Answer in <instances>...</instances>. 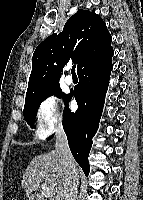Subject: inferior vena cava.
I'll list each match as a JSON object with an SVG mask.
<instances>
[{
  "mask_svg": "<svg viewBox=\"0 0 143 200\" xmlns=\"http://www.w3.org/2000/svg\"><path fill=\"white\" fill-rule=\"evenodd\" d=\"M55 150L60 154L65 171L62 200H76L79 185L78 171L75 160L71 154L66 133L63 125L59 124L56 131Z\"/></svg>",
  "mask_w": 143,
  "mask_h": 200,
  "instance_id": "inferior-vena-cava-1",
  "label": "inferior vena cava"
}]
</instances>
